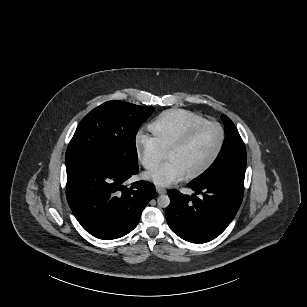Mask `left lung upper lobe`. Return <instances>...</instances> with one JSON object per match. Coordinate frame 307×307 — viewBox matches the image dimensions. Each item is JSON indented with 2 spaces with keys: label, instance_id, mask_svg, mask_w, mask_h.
<instances>
[{
  "label": "left lung upper lobe",
  "instance_id": "1",
  "mask_svg": "<svg viewBox=\"0 0 307 307\" xmlns=\"http://www.w3.org/2000/svg\"><path fill=\"white\" fill-rule=\"evenodd\" d=\"M225 126V139L222 149L211 167L189 184L202 185L215 180H229L244 183L246 169V149L243 140L233 124L226 116H221Z\"/></svg>",
  "mask_w": 307,
  "mask_h": 307
}]
</instances>
